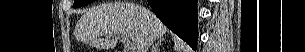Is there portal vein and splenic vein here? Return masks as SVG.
I'll return each mask as SVG.
<instances>
[{"mask_svg": "<svg viewBox=\"0 0 305 52\" xmlns=\"http://www.w3.org/2000/svg\"><path fill=\"white\" fill-rule=\"evenodd\" d=\"M121 41H122V43L125 45V48L127 49L128 52H133V51H134V46L131 45V44L128 42V38H127V37L122 36V37H121Z\"/></svg>", "mask_w": 305, "mask_h": 52, "instance_id": "obj_1", "label": "portal vein and splenic vein"}]
</instances>
